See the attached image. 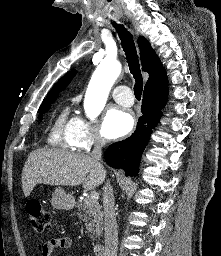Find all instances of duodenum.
Wrapping results in <instances>:
<instances>
[{
	"label": "duodenum",
	"mask_w": 221,
	"mask_h": 256,
	"mask_svg": "<svg viewBox=\"0 0 221 256\" xmlns=\"http://www.w3.org/2000/svg\"><path fill=\"white\" fill-rule=\"evenodd\" d=\"M95 256H104V245L102 243H96L93 247Z\"/></svg>",
	"instance_id": "410a0bca"
}]
</instances>
